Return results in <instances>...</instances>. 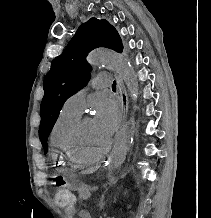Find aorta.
I'll list each match as a JSON object with an SVG mask.
<instances>
[{
	"instance_id": "obj_1",
	"label": "aorta",
	"mask_w": 211,
	"mask_h": 218,
	"mask_svg": "<svg viewBox=\"0 0 211 218\" xmlns=\"http://www.w3.org/2000/svg\"><path fill=\"white\" fill-rule=\"evenodd\" d=\"M87 61L93 66L103 64L114 70L125 83L133 102L135 103L137 101V78L132 66L125 57L110 50H95L89 54ZM134 108H136L135 105ZM134 133V117L132 116L117 135L111 155L114 170H118L124 163L127 152L130 149Z\"/></svg>"
}]
</instances>
